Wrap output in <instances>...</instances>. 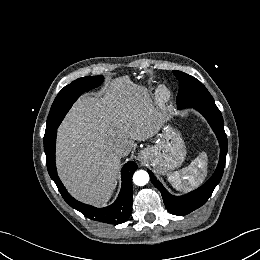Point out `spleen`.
I'll list each match as a JSON object with an SVG mask.
<instances>
[{"mask_svg": "<svg viewBox=\"0 0 260 260\" xmlns=\"http://www.w3.org/2000/svg\"><path fill=\"white\" fill-rule=\"evenodd\" d=\"M207 175V155H199L185 168L167 173L168 181L179 191H187L199 186Z\"/></svg>", "mask_w": 260, "mask_h": 260, "instance_id": "1", "label": "spleen"}]
</instances>
